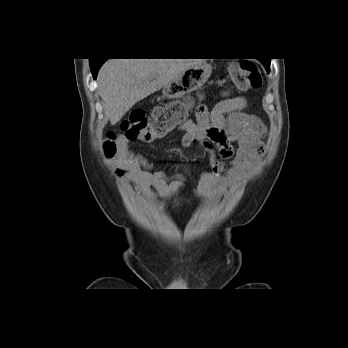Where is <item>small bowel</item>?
Segmentation results:
<instances>
[{
    "label": "small bowel",
    "mask_w": 348,
    "mask_h": 348,
    "mask_svg": "<svg viewBox=\"0 0 348 348\" xmlns=\"http://www.w3.org/2000/svg\"><path fill=\"white\" fill-rule=\"evenodd\" d=\"M221 96L212 110L200 105L196 120H187L179 127L183 146L201 142L211 156L212 167L202 172L194 190V195L202 199L219 197L244 181L264 151L262 137L266 127L257 117L244 112L246 99L232 95L231 90L221 91ZM119 143L120 151L110 161L119 177L134 183L145 196H150L155 188L168 200H184L178 198L184 189L182 173L153 171V163L131 149L124 136Z\"/></svg>",
    "instance_id": "obj_1"
}]
</instances>
